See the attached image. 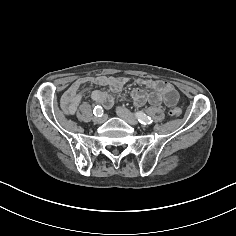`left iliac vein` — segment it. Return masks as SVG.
<instances>
[{"label":"left iliac vein","mask_w":236,"mask_h":236,"mask_svg":"<svg viewBox=\"0 0 236 236\" xmlns=\"http://www.w3.org/2000/svg\"><path fill=\"white\" fill-rule=\"evenodd\" d=\"M117 115L125 120L127 123L135 126L138 124L137 118L126 108L124 107H117L116 108Z\"/></svg>","instance_id":"4c4485c4"}]
</instances>
